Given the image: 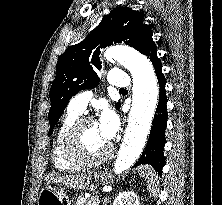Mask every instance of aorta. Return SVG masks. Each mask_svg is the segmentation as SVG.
Segmentation results:
<instances>
[{
    "label": "aorta",
    "instance_id": "762f6f07",
    "mask_svg": "<svg viewBox=\"0 0 222 205\" xmlns=\"http://www.w3.org/2000/svg\"><path fill=\"white\" fill-rule=\"evenodd\" d=\"M109 60H117L133 75L132 107L123 141L113 163L115 174L130 168L142 155L158 104L159 87L152 63L128 46H113L106 50Z\"/></svg>",
    "mask_w": 222,
    "mask_h": 205
}]
</instances>
